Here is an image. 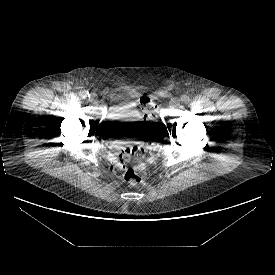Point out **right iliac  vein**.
Returning a JSON list of instances; mask_svg holds the SVG:
<instances>
[{
  "instance_id": "63e3f726",
  "label": "right iliac vein",
  "mask_w": 275,
  "mask_h": 275,
  "mask_svg": "<svg viewBox=\"0 0 275 275\" xmlns=\"http://www.w3.org/2000/svg\"><path fill=\"white\" fill-rule=\"evenodd\" d=\"M89 101H90L91 103H96V102H97V97H96L95 95H91V96L89 97Z\"/></svg>"
}]
</instances>
